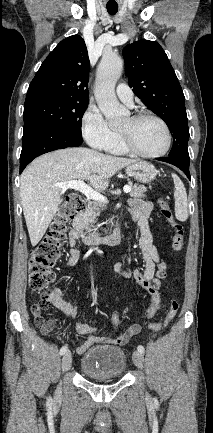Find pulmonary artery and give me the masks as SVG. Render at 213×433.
I'll return each instance as SVG.
<instances>
[{"instance_id":"obj_1","label":"pulmonary artery","mask_w":213,"mask_h":433,"mask_svg":"<svg viewBox=\"0 0 213 433\" xmlns=\"http://www.w3.org/2000/svg\"><path fill=\"white\" fill-rule=\"evenodd\" d=\"M117 97L128 106L133 105V92L126 83H120L116 88Z\"/></svg>"}]
</instances>
